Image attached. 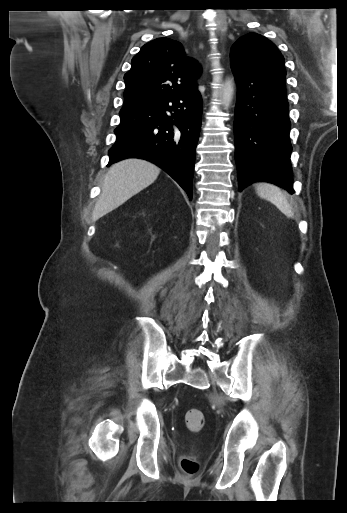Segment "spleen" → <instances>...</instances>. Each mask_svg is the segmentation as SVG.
Returning a JSON list of instances; mask_svg holds the SVG:
<instances>
[{"label": "spleen", "instance_id": "spleen-1", "mask_svg": "<svg viewBox=\"0 0 347 513\" xmlns=\"http://www.w3.org/2000/svg\"><path fill=\"white\" fill-rule=\"evenodd\" d=\"M256 193L260 198L273 203L286 216H293L292 207L290 206L286 196L277 186L269 183H259L256 186Z\"/></svg>", "mask_w": 347, "mask_h": 513}]
</instances>
